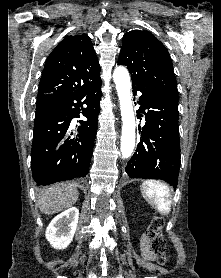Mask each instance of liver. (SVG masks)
<instances>
[{
    "label": "liver",
    "instance_id": "1",
    "mask_svg": "<svg viewBox=\"0 0 221 278\" xmlns=\"http://www.w3.org/2000/svg\"><path fill=\"white\" fill-rule=\"evenodd\" d=\"M78 196L75 185L60 183L43 189L38 196V205L42 213L52 215L70 208Z\"/></svg>",
    "mask_w": 221,
    "mask_h": 278
}]
</instances>
